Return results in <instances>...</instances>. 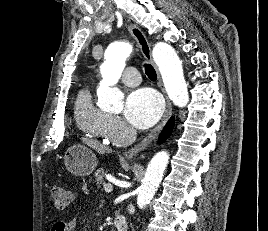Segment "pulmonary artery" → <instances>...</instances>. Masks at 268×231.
<instances>
[{"instance_id":"obj_1","label":"pulmonary artery","mask_w":268,"mask_h":231,"mask_svg":"<svg viewBox=\"0 0 268 231\" xmlns=\"http://www.w3.org/2000/svg\"><path fill=\"white\" fill-rule=\"evenodd\" d=\"M122 82L128 86H135L140 82V75L137 68L133 65L126 68L122 75Z\"/></svg>"}]
</instances>
